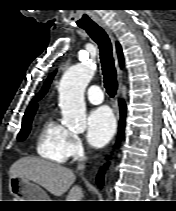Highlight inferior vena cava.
<instances>
[{"instance_id": "obj_1", "label": "inferior vena cava", "mask_w": 176, "mask_h": 211, "mask_svg": "<svg viewBox=\"0 0 176 211\" xmlns=\"http://www.w3.org/2000/svg\"><path fill=\"white\" fill-rule=\"evenodd\" d=\"M84 168H85V163L84 162H79L78 166H77V169L78 170H84Z\"/></svg>"}]
</instances>
